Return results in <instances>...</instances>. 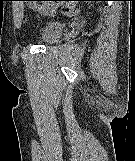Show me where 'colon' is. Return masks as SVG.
Masks as SVG:
<instances>
[{
  "instance_id": "obj_1",
  "label": "colon",
  "mask_w": 135,
  "mask_h": 161,
  "mask_svg": "<svg viewBox=\"0 0 135 161\" xmlns=\"http://www.w3.org/2000/svg\"><path fill=\"white\" fill-rule=\"evenodd\" d=\"M52 1L54 5L52 7H58L60 6V3H63L61 5V11L66 16H73L77 13V6L74 1L72 0H47Z\"/></svg>"
}]
</instances>
